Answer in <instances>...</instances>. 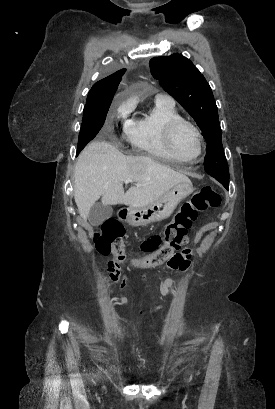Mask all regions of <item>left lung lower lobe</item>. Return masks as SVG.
Returning <instances> with one entry per match:
<instances>
[{
    "mask_svg": "<svg viewBox=\"0 0 275 409\" xmlns=\"http://www.w3.org/2000/svg\"><path fill=\"white\" fill-rule=\"evenodd\" d=\"M213 177V176H212ZM217 181H219L227 190H229V180H224L221 178L214 177Z\"/></svg>",
    "mask_w": 275,
    "mask_h": 409,
    "instance_id": "obj_1",
    "label": "left lung lower lobe"
}]
</instances>
